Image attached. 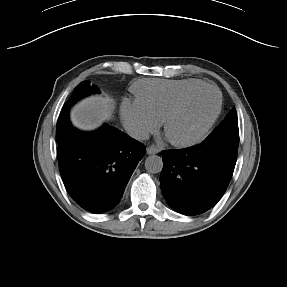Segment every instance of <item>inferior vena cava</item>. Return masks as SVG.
Here are the masks:
<instances>
[{
	"instance_id": "obj_1",
	"label": "inferior vena cava",
	"mask_w": 287,
	"mask_h": 287,
	"mask_svg": "<svg viewBox=\"0 0 287 287\" xmlns=\"http://www.w3.org/2000/svg\"><path fill=\"white\" fill-rule=\"evenodd\" d=\"M124 129L126 133L137 140H147L149 139V133L146 129L139 124L136 123H126L124 125Z\"/></svg>"
}]
</instances>
